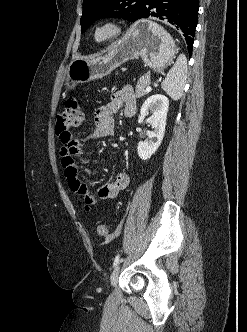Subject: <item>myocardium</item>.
Here are the masks:
<instances>
[{"label": "myocardium", "mask_w": 247, "mask_h": 332, "mask_svg": "<svg viewBox=\"0 0 247 332\" xmlns=\"http://www.w3.org/2000/svg\"><path fill=\"white\" fill-rule=\"evenodd\" d=\"M123 33L122 24L115 19L98 22L92 29V38L96 43L104 44L119 38Z\"/></svg>", "instance_id": "obj_1"}]
</instances>
